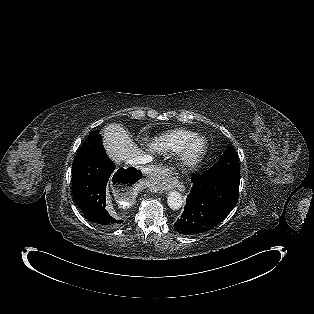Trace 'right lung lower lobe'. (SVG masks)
<instances>
[{
    "instance_id": "1",
    "label": "right lung lower lobe",
    "mask_w": 314,
    "mask_h": 314,
    "mask_svg": "<svg viewBox=\"0 0 314 314\" xmlns=\"http://www.w3.org/2000/svg\"><path fill=\"white\" fill-rule=\"evenodd\" d=\"M142 174L134 167L115 170L100 144L83 156L76 157L72 164V192L85 217L102 226L114 228L123 221L112 217L106 207V186L108 181L117 185L132 186Z\"/></svg>"
}]
</instances>
